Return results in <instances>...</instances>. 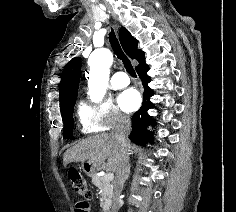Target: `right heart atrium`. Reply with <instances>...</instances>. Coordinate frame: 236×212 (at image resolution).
I'll return each instance as SVG.
<instances>
[{"label": "right heart atrium", "mask_w": 236, "mask_h": 212, "mask_svg": "<svg viewBox=\"0 0 236 212\" xmlns=\"http://www.w3.org/2000/svg\"><path fill=\"white\" fill-rule=\"evenodd\" d=\"M78 117L81 130L85 134L109 131L129 120L112 99H104L97 104L82 102Z\"/></svg>", "instance_id": "1"}]
</instances>
